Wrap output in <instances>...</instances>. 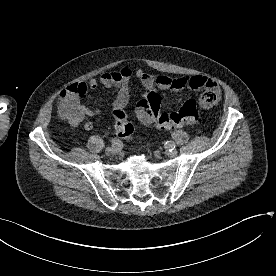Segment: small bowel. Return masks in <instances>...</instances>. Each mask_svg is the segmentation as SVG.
Wrapping results in <instances>:
<instances>
[{"instance_id":"c3829d8e","label":"small bowel","mask_w":276,"mask_h":276,"mask_svg":"<svg viewBox=\"0 0 276 276\" xmlns=\"http://www.w3.org/2000/svg\"><path fill=\"white\" fill-rule=\"evenodd\" d=\"M135 75L141 82L145 90L152 89L156 85L161 90L180 91L182 89L198 90L204 92L200 96V102L204 109H209L216 105L221 99L222 92L219 84L212 78L203 75L171 77L168 75L153 76L142 69L132 70L130 67H122L119 70L103 72L98 78H91L88 83L80 82L71 85L69 88L80 89V93L68 92L65 97L59 101L60 112L65 105H72L79 111L76 119H68L69 123L77 126L83 123L86 130L92 129L93 125L89 121L83 122L85 116L94 117L100 113L97 108H89L82 104V98L87 93L88 88L95 90L98 86L102 88H116L117 96L114 101V108H125L130 99V80ZM139 117V115H138ZM139 119L144 124L149 122Z\"/></svg>"}]
</instances>
